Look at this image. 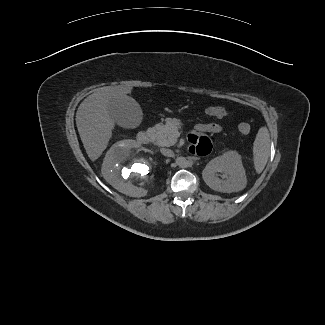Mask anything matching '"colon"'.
<instances>
[{
  "label": "colon",
  "mask_w": 325,
  "mask_h": 325,
  "mask_svg": "<svg viewBox=\"0 0 325 325\" xmlns=\"http://www.w3.org/2000/svg\"><path fill=\"white\" fill-rule=\"evenodd\" d=\"M205 114L210 117L223 118L227 116L228 112L224 107L221 106H209L205 108ZM238 129L244 135L251 132V126L246 122H240L238 124Z\"/></svg>",
  "instance_id": "5ec220e1"
}]
</instances>
